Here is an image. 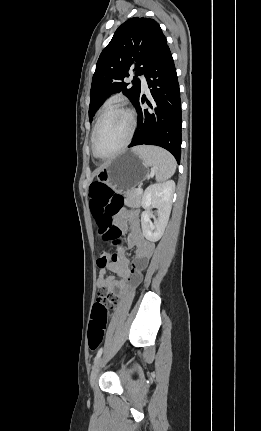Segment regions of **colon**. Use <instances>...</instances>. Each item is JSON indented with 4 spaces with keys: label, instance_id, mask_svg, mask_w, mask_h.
Listing matches in <instances>:
<instances>
[{
    "label": "colon",
    "instance_id": "colon-1",
    "mask_svg": "<svg viewBox=\"0 0 261 431\" xmlns=\"http://www.w3.org/2000/svg\"><path fill=\"white\" fill-rule=\"evenodd\" d=\"M90 210L94 217L99 236L102 240L118 245L121 238V229L116 224L114 216L121 209L123 198L114 192L106 184L95 181L90 184L88 190ZM118 254L101 252L98 265H104L108 261H117ZM115 303V297L102 289L98 292L96 302L92 308L91 320L88 329V344L91 350H95L102 342L108 319V309Z\"/></svg>",
    "mask_w": 261,
    "mask_h": 431
}]
</instances>
